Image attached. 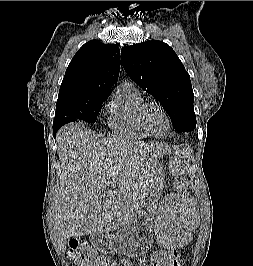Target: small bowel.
Segmentation results:
<instances>
[{
    "label": "small bowel",
    "instance_id": "small-bowel-1",
    "mask_svg": "<svg viewBox=\"0 0 253 266\" xmlns=\"http://www.w3.org/2000/svg\"><path fill=\"white\" fill-rule=\"evenodd\" d=\"M123 266H133L131 262L123 260L122 261Z\"/></svg>",
    "mask_w": 253,
    "mask_h": 266
}]
</instances>
